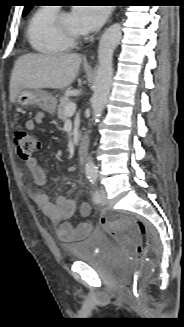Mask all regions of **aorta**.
<instances>
[{"label":"aorta","mask_w":184,"mask_h":327,"mask_svg":"<svg viewBox=\"0 0 184 327\" xmlns=\"http://www.w3.org/2000/svg\"><path fill=\"white\" fill-rule=\"evenodd\" d=\"M122 37V26L119 23L111 25L103 33L98 47V69L91 98L93 120L98 122L105 108L110 94L113 77V54ZM85 173L89 178L95 179L98 170L89 157L85 164Z\"/></svg>","instance_id":"1"}]
</instances>
